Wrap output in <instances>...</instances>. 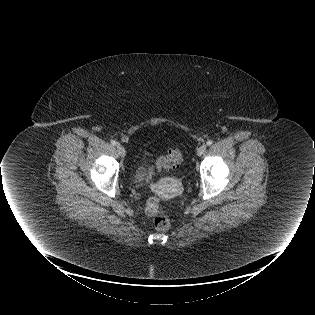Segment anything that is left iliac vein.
<instances>
[{
  "label": "left iliac vein",
  "instance_id": "obj_1",
  "mask_svg": "<svg viewBox=\"0 0 315 315\" xmlns=\"http://www.w3.org/2000/svg\"><path fill=\"white\" fill-rule=\"evenodd\" d=\"M206 145L205 144H202L198 149H197V155L198 156H202L205 151H206Z\"/></svg>",
  "mask_w": 315,
  "mask_h": 315
}]
</instances>
